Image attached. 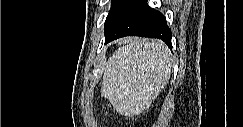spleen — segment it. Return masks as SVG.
<instances>
[{"mask_svg":"<svg viewBox=\"0 0 243 127\" xmlns=\"http://www.w3.org/2000/svg\"><path fill=\"white\" fill-rule=\"evenodd\" d=\"M171 68V53L165 44L130 42L105 63L101 96L120 114L139 113L168 82Z\"/></svg>","mask_w":243,"mask_h":127,"instance_id":"3e777b00","label":"spleen"}]
</instances>
